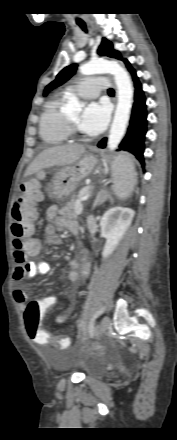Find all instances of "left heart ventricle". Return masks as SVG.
Here are the masks:
<instances>
[{
    "label": "left heart ventricle",
    "mask_w": 177,
    "mask_h": 440,
    "mask_svg": "<svg viewBox=\"0 0 177 440\" xmlns=\"http://www.w3.org/2000/svg\"><path fill=\"white\" fill-rule=\"evenodd\" d=\"M67 117L73 122L75 123V125H77L78 120H79V114L75 113V114H69L67 115Z\"/></svg>",
    "instance_id": "b2bd125f"
}]
</instances>
